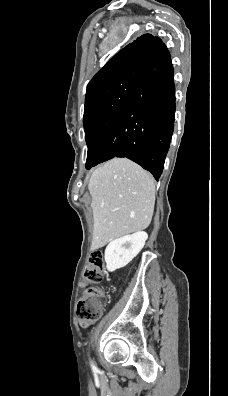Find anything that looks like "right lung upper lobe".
Wrapping results in <instances>:
<instances>
[{
    "label": "right lung upper lobe",
    "instance_id": "obj_1",
    "mask_svg": "<svg viewBox=\"0 0 228 396\" xmlns=\"http://www.w3.org/2000/svg\"><path fill=\"white\" fill-rule=\"evenodd\" d=\"M162 40L151 34H144L134 42L128 44L115 54L105 66L99 70L87 86V93H90L101 83L121 76L132 71L143 70V63L146 58L151 56L161 45Z\"/></svg>",
    "mask_w": 228,
    "mask_h": 396
}]
</instances>
